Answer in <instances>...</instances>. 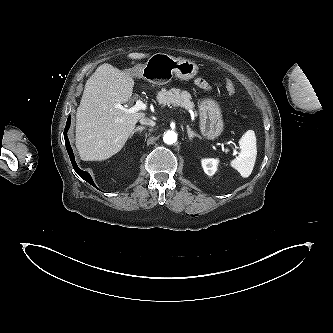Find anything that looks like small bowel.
Returning <instances> with one entry per match:
<instances>
[{"mask_svg":"<svg viewBox=\"0 0 333 333\" xmlns=\"http://www.w3.org/2000/svg\"><path fill=\"white\" fill-rule=\"evenodd\" d=\"M196 83L202 89H206V90L209 89L208 83L203 79H197Z\"/></svg>","mask_w":333,"mask_h":333,"instance_id":"obj_1","label":"small bowel"}]
</instances>
